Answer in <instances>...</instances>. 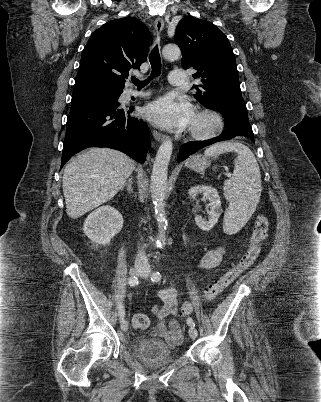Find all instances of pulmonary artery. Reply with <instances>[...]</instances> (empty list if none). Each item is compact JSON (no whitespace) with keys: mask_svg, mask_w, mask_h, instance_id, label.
I'll use <instances>...</instances> for the list:
<instances>
[{"mask_svg":"<svg viewBox=\"0 0 321 402\" xmlns=\"http://www.w3.org/2000/svg\"><path fill=\"white\" fill-rule=\"evenodd\" d=\"M169 84L172 86H182L185 83L184 72L180 69L173 70L170 72L168 77ZM138 95L143 96V93H138Z\"/></svg>","mask_w":321,"mask_h":402,"instance_id":"obj_1","label":"pulmonary artery"}]
</instances>
